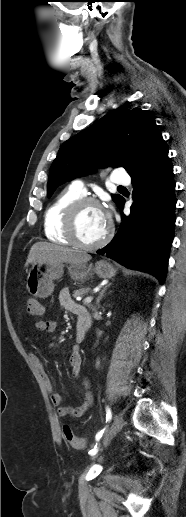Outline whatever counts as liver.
Listing matches in <instances>:
<instances>
[{
	"mask_svg": "<svg viewBox=\"0 0 186 517\" xmlns=\"http://www.w3.org/2000/svg\"><path fill=\"white\" fill-rule=\"evenodd\" d=\"M91 260V256L85 252L73 250L63 246L46 242L35 243L29 252L25 266L30 263H86Z\"/></svg>",
	"mask_w": 186,
	"mask_h": 517,
	"instance_id": "obj_1",
	"label": "liver"
}]
</instances>
